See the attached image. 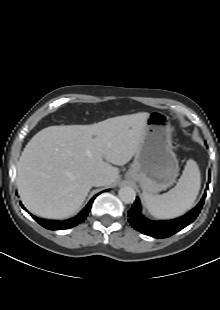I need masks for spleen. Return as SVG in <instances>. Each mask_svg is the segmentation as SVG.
<instances>
[{
  "instance_id": "3e777b00",
  "label": "spleen",
  "mask_w": 220,
  "mask_h": 310,
  "mask_svg": "<svg viewBox=\"0 0 220 310\" xmlns=\"http://www.w3.org/2000/svg\"><path fill=\"white\" fill-rule=\"evenodd\" d=\"M201 186V174L196 162L189 159L176 186L162 195L144 194L150 214L159 219H171L183 215L197 198Z\"/></svg>"
}]
</instances>
